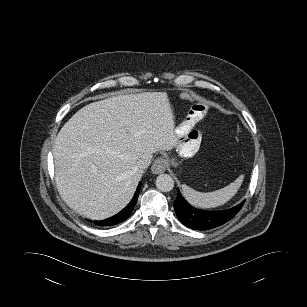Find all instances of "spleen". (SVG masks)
<instances>
[{
	"mask_svg": "<svg viewBox=\"0 0 307 307\" xmlns=\"http://www.w3.org/2000/svg\"><path fill=\"white\" fill-rule=\"evenodd\" d=\"M243 181V176H239L234 182L228 186L208 193L195 191L194 189L184 185L183 195L186 200L195 207L213 208L220 206L230 200L237 192Z\"/></svg>",
	"mask_w": 307,
	"mask_h": 307,
	"instance_id": "spleen-1",
	"label": "spleen"
}]
</instances>
